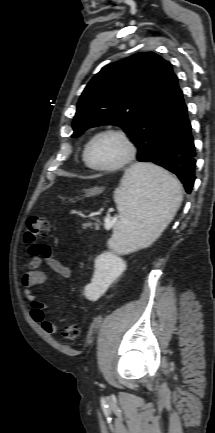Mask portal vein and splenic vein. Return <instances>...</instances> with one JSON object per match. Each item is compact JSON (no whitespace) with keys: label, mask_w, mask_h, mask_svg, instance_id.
<instances>
[{"label":"portal vein and splenic vein","mask_w":215,"mask_h":433,"mask_svg":"<svg viewBox=\"0 0 215 433\" xmlns=\"http://www.w3.org/2000/svg\"><path fill=\"white\" fill-rule=\"evenodd\" d=\"M115 222L116 219H111L110 215L108 214L107 217L105 218V228L106 229L112 228Z\"/></svg>","instance_id":"1"}]
</instances>
